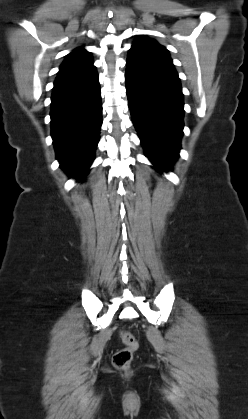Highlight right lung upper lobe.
I'll return each mask as SVG.
<instances>
[{
	"label": "right lung upper lobe",
	"instance_id": "right-lung-upper-lobe-1",
	"mask_svg": "<svg viewBox=\"0 0 248 419\" xmlns=\"http://www.w3.org/2000/svg\"><path fill=\"white\" fill-rule=\"evenodd\" d=\"M91 62V54L82 47L77 48L66 56L65 61L60 66L58 74L77 69Z\"/></svg>",
	"mask_w": 248,
	"mask_h": 419
}]
</instances>
